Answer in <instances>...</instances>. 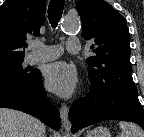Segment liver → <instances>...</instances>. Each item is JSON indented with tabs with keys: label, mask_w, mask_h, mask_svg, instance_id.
Returning <instances> with one entry per match:
<instances>
[{
	"label": "liver",
	"mask_w": 144,
	"mask_h": 137,
	"mask_svg": "<svg viewBox=\"0 0 144 137\" xmlns=\"http://www.w3.org/2000/svg\"><path fill=\"white\" fill-rule=\"evenodd\" d=\"M45 126L21 111L0 108V137H44Z\"/></svg>",
	"instance_id": "obj_1"
}]
</instances>
